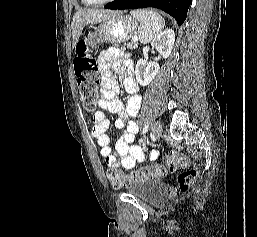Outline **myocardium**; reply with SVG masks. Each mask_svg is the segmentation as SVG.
Wrapping results in <instances>:
<instances>
[{
	"instance_id": "1",
	"label": "myocardium",
	"mask_w": 257,
	"mask_h": 237,
	"mask_svg": "<svg viewBox=\"0 0 257 237\" xmlns=\"http://www.w3.org/2000/svg\"><path fill=\"white\" fill-rule=\"evenodd\" d=\"M87 4L89 5H104L110 2H113L115 0H101V1H96V0H85Z\"/></svg>"
}]
</instances>
